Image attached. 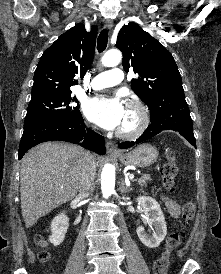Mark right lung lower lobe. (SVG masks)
Masks as SVG:
<instances>
[{
  "mask_svg": "<svg viewBox=\"0 0 221 274\" xmlns=\"http://www.w3.org/2000/svg\"><path fill=\"white\" fill-rule=\"evenodd\" d=\"M53 140L71 143L82 142L84 148L100 155L106 153L104 138L86 128L83 118L74 121L63 117H52L24 124V132L19 146V159L33 146Z\"/></svg>",
  "mask_w": 221,
  "mask_h": 274,
  "instance_id": "obj_1",
  "label": "right lung lower lobe"
}]
</instances>
